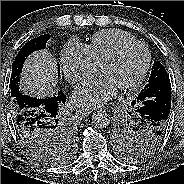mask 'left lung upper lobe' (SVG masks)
I'll use <instances>...</instances> for the list:
<instances>
[{
	"label": "left lung upper lobe",
	"mask_w": 184,
	"mask_h": 184,
	"mask_svg": "<svg viewBox=\"0 0 184 184\" xmlns=\"http://www.w3.org/2000/svg\"><path fill=\"white\" fill-rule=\"evenodd\" d=\"M161 82H170L169 75L160 62L154 61L148 84L141 92ZM159 90L161 89L157 88L156 91ZM130 107L127 114L115 121L112 136L120 158L126 161H136L150 156L158 148L164 136L158 138L152 128L139 123L133 117L132 105ZM165 125L167 127V123Z\"/></svg>",
	"instance_id": "left-lung-upper-lobe-1"
}]
</instances>
